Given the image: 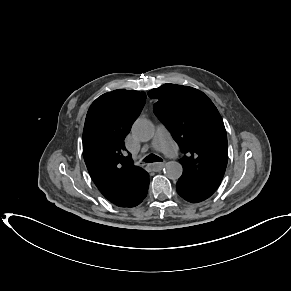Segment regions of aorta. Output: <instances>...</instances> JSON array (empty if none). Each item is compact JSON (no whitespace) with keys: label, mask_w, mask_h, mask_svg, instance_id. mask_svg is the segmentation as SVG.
Listing matches in <instances>:
<instances>
[{"label":"aorta","mask_w":291,"mask_h":291,"mask_svg":"<svg viewBox=\"0 0 291 291\" xmlns=\"http://www.w3.org/2000/svg\"><path fill=\"white\" fill-rule=\"evenodd\" d=\"M155 128L151 121L147 119H137L132 127L133 136L142 142L151 140L154 136ZM165 174L169 179L176 180L182 175L183 168L179 162L169 161L165 164Z\"/></svg>","instance_id":"obj_1"}]
</instances>
